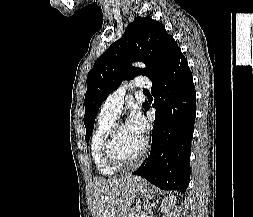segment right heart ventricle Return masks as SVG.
Listing matches in <instances>:
<instances>
[{"mask_svg": "<svg viewBox=\"0 0 253 217\" xmlns=\"http://www.w3.org/2000/svg\"><path fill=\"white\" fill-rule=\"evenodd\" d=\"M116 116L103 113L99 114L94 132L91 138V156L97 171L102 175L111 176L116 174L120 168L108 164L102 154L103 140L110 129L111 125L115 122Z\"/></svg>", "mask_w": 253, "mask_h": 217, "instance_id": "right-heart-ventricle-1", "label": "right heart ventricle"}]
</instances>
